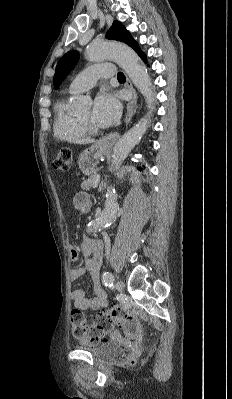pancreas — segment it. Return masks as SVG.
Listing matches in <instances>:
<instances>
[{
  "label": "pancreas",
  "instance_id": "pancreas-1",
  "mask_svg": "<svg viewBox=\"0 0 232 399\" xmlns=\"http://www.w3.org/2000/svg\"><path fill=\"white\" fill-rule=\"evenodd\" d=\"M95 176L96 174H91L90 178H88V180H84V182H82L81 184V188L82 190H90V188H92L93 184H94V180H95Z\"/></svg>",
  "mask_w": 232,
  "mask_h": 399
}]
</instances>
